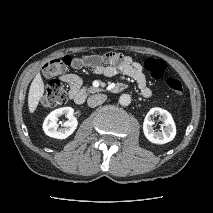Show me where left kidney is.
Wrapping results in <instances>:
<instances>
[{
  "label": "left kidney",
  "instance_id": "left-kidney-1",
  "mask_svg": "<svg viewBox=\"0 0 213 213\" xmlns=\"http://www.w3.org/2000/svg\"><path fill=\"white\" fill-rule=\"evenodd\" d=\"M160 115L163 121V126L161 132H155L153 129L154 122L152 121V116ZM143 132L145 137L152 143L155 144H165L172 141L176 135V126L171 114L162 108L154 107L151 108L147 113L143 122Z\"/></svg>",
  "mask_w": 213,
  "mask_h": 213
}]
</instances>
